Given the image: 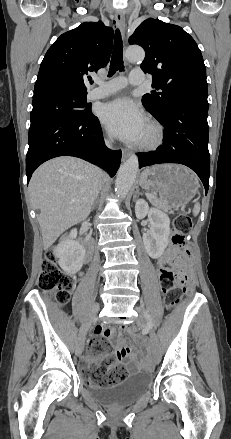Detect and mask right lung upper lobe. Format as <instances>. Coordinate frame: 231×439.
Wrapping results in <instances>:
<instances>
[{"instance_id": "cb5924a9", "label": "right lung upper lobe", "mask_w": 231, "mask_h": 439, "mask_svg": "<svg viewBox=\"0 0 231 439\" xmlns=\"http://www.w3.org/2000/svg\"><path fill=\"white\" fill-rule=\"evenodd\" d=\"M112 43L113 30L101 21L84 22L62 34L44 56L33 98L50 93L87 94L86 75L107 65Z\"/></svg>"}]
</instances>
